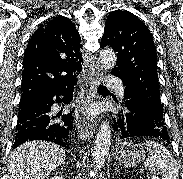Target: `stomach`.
Segmentation results:
<instances>
[{
	"mask_svg": "<svg viewBox=\"0 0 183 179\" xmlns=\"http://www.w3.org/2000/svg\"><path fill=\"white\" fill-rule=\"evenodd\" d=\"M115 160L123 166L130 168L137 166L145 159V151L142 145L129 142L119 143L113 152Z\"/></svg>",
	"mask_w": 183,
	"mask_h": 179,
	"instance_id": "1",
	"label": "stomach"
}]
</instances>
